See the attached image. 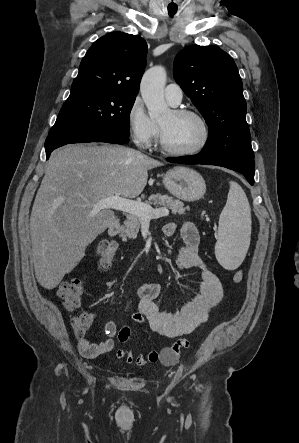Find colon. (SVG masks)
Wrapping results in <instances>:
<instances>
[{"instance_id": "colon-1", "label": "colon", "mask_w": 299, "mask_h": 443, "mask_svg": "<svg viewBox=\"0 0 299 443\" xmlns=\"http://www.w3.org/2000/svg\"><path fill=\"white\" fill-rule=\"evenodd\" d=\"M117 246L114 241L102 240L96 247V257L98 260V268L106 270L110 268L116 259ZM244 279L242 270H236L233 274V281L240 283ZM84 290V280L81 278H71L63 281L57 290V295L62 301L63 306L69 310L74 311L81 305ZM126 317L129 322H133L135 314L134 311H126ZM93 319L90 314H80L73 318L72 326L75 333L79 336L83 335L90 327ZM163 359L170 362L173 356L169 350L163 353Z\"/></svg>"}]
</instances>
